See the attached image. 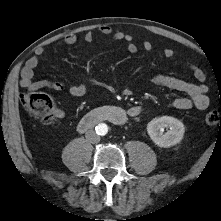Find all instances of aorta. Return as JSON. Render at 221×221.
Masks as SVG:
<instances>
[{"label":"aorta","mask_w":221,"mask_h":221,"mask_svg":"<svg viewBox=\"0 0 221 221\" xmlns=\"http://www.w3.org/2000/svg\"><path fill=\"white\" fill-rule=\"evenodd\" d=\"M95 130L98 135L104 136L108 132V126L105 123H100L96 126Z\"/></svg>","instance_id":"1"}]
</instances>
